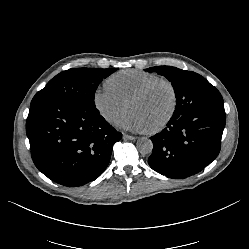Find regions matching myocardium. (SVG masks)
<instances>
[{"mask_svg": "<svg viewBox=\"0 0 249 249\" xmlns=\"http://www.w3.org/2000/svg\"><path fill=\"white\" fill-rule=\"evenodd\" d=\"M159 85H166L169 88L172 95V107L168 115L156 127L148 129L146 131L148 134H156L164 130L171 123L174 116L176 115L179 105V96L174 83L165 78L156 79L144 85L137 92H135L128 100V105H129V103H131L132 101H135L137 99L146 96L149 92H151L154 88H156Z\"/></svg>", "mask_w": 249, "mask_h": 249, "instance_id": "myocardium-1", "label": "myocardium"}]
</instances>
